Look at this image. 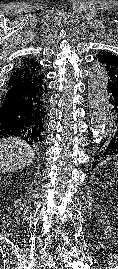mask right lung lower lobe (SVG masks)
<instances>
[{
  "instance_id": "right-lung-lower-lobe-1",
  "label": "right lung lower lobe",
  "mask_w": 118,
  "mask_h": 269,
  "mask_svg": "<svg viewBox=\"0 0 118 269\" xmlns=\"http://www.w3.org/2000/svg\"><path fill=\"white\" fill-rule=\"evenodd\" d=\"M37 88L7 87L0 103V137H21L31 146L40 145L42 132L36 127Z\"/></svg>"
}]
</instances>
